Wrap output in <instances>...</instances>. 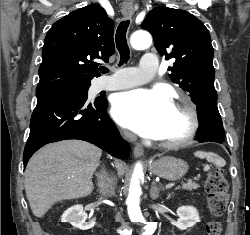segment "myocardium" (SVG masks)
I'll return each mask as SVG.
<instances>
[{"instance_id": "1", "label": "myocardium", "mask_w": 250, "mask_h": 235, "mask_svg": "<svg viewBox=\"0 0 250 235\" xmlns=\"http://www.w3.org/2000/svg\"><path fill=\"white\" fill-rule=\"evenodd\" d=\"M174 108L182 111L188 119V127L186 131L173 139L170 140H157V142L167 148H175L189 144L196 137L199 127L200 118L199 113L194 103L188 98H182L175 103Z\"/></svg>"}]
</instances>
